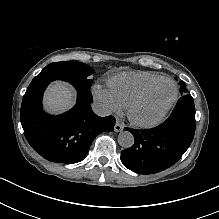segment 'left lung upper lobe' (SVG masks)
<instances>
[{"label": "left lung upper lobe", "instance_id": "1", "mask_svg": "<svg viewBox=\"0 0 219 219\" xmlns=\"http://www.w3.org/2000/svg\"><path fill=\"white\" fill-rule=\"evenodd\" d=\"M180 93H181V95L187 94L186 86H185V83L183 81H181V83H180Z\"/></svg>", "mask_w": 219, "mask_h": 219}]
</instances>
